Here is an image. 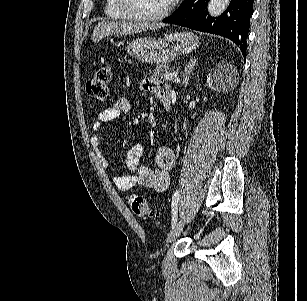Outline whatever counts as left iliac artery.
Returning a JSON list of instances; mask_svg holds the SVG:
<instances>
[{
    "instance_id": "44dca946",
    "label": "left iliac artery",
    "mask_w": 307,
    "mask_h": 301,
    "mask_svg": "<svg viewBox=\"0 0 307 301\" xmlns=\"http://www.w3.org/2000/svg\"><path fill=\"white\" fill-rule=\"evenodd\" d=\"M180 197V191L176 190L172 196V228L175 226L177 222V204Z\"/></svg>"
}]
</instances>
